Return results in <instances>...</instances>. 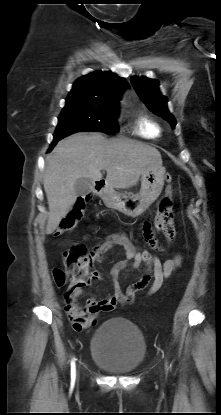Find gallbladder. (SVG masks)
Wrapping results in <instances>:
<instances>
[{"label": "gallbladder", "mask_w": 221, "mask_h": 415, "mask_svg": "<svg viewBox=\"0 0 221 415\" xmlns=\"http://www.w3.org/2000/svg\"><path fill=\"white\" fill-rule=\"evenodd\" d=\"M93 188V180L89 178H79L74 184V190L77 195H86Z\"/></svg>", "instance_id": "gallbladder-1"}]
</instances>
